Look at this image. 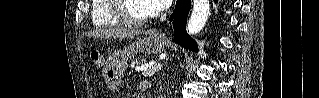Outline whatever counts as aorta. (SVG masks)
<instances>
[{
	"label": "aorta",
	"mask_w": 319,
	"mask_h": 98,
	"mask_svg": "<svg viewBox=\"0 0 319 98\" xmlns=\"http://www.w3.org/2000/svg\"><path fill=\"white\" fill-rule=\"evenodd\" d=\"M209 0H194L193 11L187 24V31L190 35L199 33L209 16Z\"/></svg>",
	"instance_id": "762f6f07"
}]
</instances>
